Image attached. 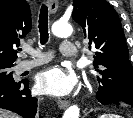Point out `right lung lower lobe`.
<instances>
[{
    "label": "right lung lower lobe",
    "instance_id": "98d812e1",
    "mask_svg": "<svg viewBox=\"0 0 133 118\" xmlns=\"http://www.w3.org/2000/svg\"><path fill=\"white\" fill-rule=\"evenodd\" d=\"M0 108L16 112L24 118H34L37 98L31 96L28 81L0 84Z\"/></svg>",
    "mask_w": 133,
    "mask_h": 118
}]
</instances>
